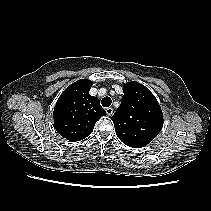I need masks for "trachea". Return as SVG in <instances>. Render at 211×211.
I'll return each instance as SVG.
<instances>
[{
  "instance_id": "obj_1",
  "label": "trachea",
  "mask_w": 211,
  "mask_h": 211,
  "mask_svg": "<svg viewBox=\"0 0 211 211\" xmlns=\"http://www.w3.org/2000/svg\"><path fill=\"white\" fill-rule=\"evenodd\" d=\"M112 103V100L110 97H104L101 101V104L103 107H109Z\"/></svg>"
}]
</instances>
